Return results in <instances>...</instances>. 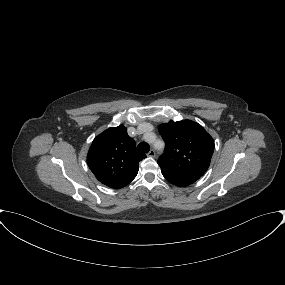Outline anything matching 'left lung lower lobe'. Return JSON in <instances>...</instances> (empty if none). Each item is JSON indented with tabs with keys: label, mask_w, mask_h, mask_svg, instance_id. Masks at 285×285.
I'll return each instance as SVG.
<instances>
[{
	"label": "left lung lower lobe",
	"mask_w": 285,
	"mask_h": 285,
	"mask_svg": "<svg viewBox=\"0 0 285 285\" xmlns=\"http://www.w3.org/2000/svg\"><path fill=\"white\" fill-rule=\"evenodd\" d=\"M161 172H162V175L165 177L166 180H168L170 183H172L178 187L188 186L200 178V177H194V176L175 175V174L168 173V172H165L162 170H161Z\"/></svg>",
	"instance_id": "left-lung-lower-lobe-1"
}]
</instances>
